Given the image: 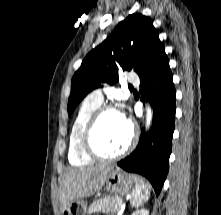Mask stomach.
Instances as JSON below:
<instances>
[{
	"label": "stomach",
	"mask_w": 221,
	"mask_h": 215,
	"mask_svg": "<svg viewBox=\"0 0 221 215\" xmlns=\"http://www.w3.org/2000/svg\"><path fill=\"white\" fill-rule=\"evenodd\" d=\"M134 187V177L119 169L111 170L105 181L106 190L116 195H127ZM87 212V203L83 199H78L70 203L62 211V215H86Z\"/></svg>",
	"instance_id": "obj_1"
}]
</instances>
